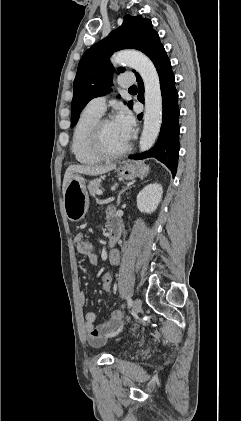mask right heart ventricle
Here are the masks:
<instances>
[{
  "label": "right heart ventricle",
  "mask_w": 241,
  "mask_h": 421,
  "mask_svg": "<svg viewBox=\"0 0 241 421\" xmlns=\"http://www.w3.org/2000/svg\"><path fill=\"white\" fill-rule=\"evenodd\" d=\"M101 116V114L93 111L89 107H85L75 125L72 135L71 151L75 159L81 164L93 165L102 160L93 152L90 144L92 129Z\"/></svg>",
  "instance_id": "right-heart-ventricle-1"
}]
</instances>
